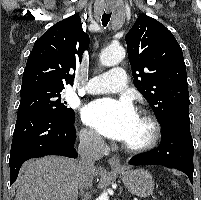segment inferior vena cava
I'll return each mask as SVG.
<instances>
[{"instance_id":"602c4592","label":"inferior vena cava","mask_w":201,"mask_h":200,"mask_svg":"<svg viewBox=\"0 0 201 200\" xmlns=\"http://www.w3.org/2000/svg\"><path fill=\"white\" fill-rule=\"evenodd\" d=\"M105 143L100 135L95 133H82L79 136L78 152L80 161L78 163L79 180L82 200H89V194L83 189L92 186V173L94 171V162L99 160L104 153Z\"/></svg>"}]
</instances>
